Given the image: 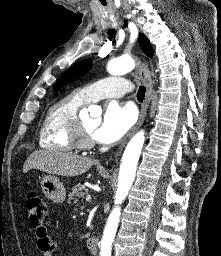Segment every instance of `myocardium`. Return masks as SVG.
Masks as SVG:
<instances>
[{"mask_svg":"<svg viewBox=\"0 0 221 256\" xmlns=\"http://www.w3.org/2000/svg\"><path fill=\"white\" fill-rule=\"evenodd\" d=\"M74 138L76 145L80 148L88 149L94 146L91 134L85 130L83 123L79 119L74 130Z\"/></svg>","mask_w":221,"mask_h":256,"instance_id":"f54148a6","label":"myocardium"}]
</instances>
